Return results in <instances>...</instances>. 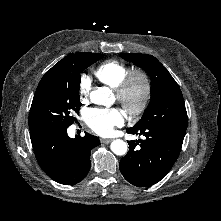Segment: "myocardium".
Segmentation results:
<instances>
[{
  "mask_svg": "<svg viewBox=\"0 0 221 221\" xmlns=\"http://www.w3.org/2000/svg\"><path fill=\"white\" fill-rule=\"evenodd\" d=\"M139 85L140 96L133 99V92ZM152 96V80L144 70H132L122 80L116 89L117 100L121 103L126 113L130 116H138L147 108Z\"/></svg>",
  "mask_w": 221,
  "mask_h": 221,
  "instance_id": "f54148a6",
  "label": "myocardium"
}]
</instances>
